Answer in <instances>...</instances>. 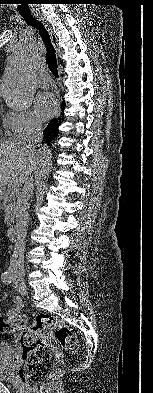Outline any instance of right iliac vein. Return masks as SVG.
Returning <instances> with one entry per match:
<instances>
[{
  "instance_id": "right-iliac-vein-1",
  "label": "right iliac vein",
  "mask_w": 153,
  "mask_h": 393,
  "mask_svg": "<svg viewBox=\"0 0 153 393\" xmlns=\"http://www.w3.org/2000/svg\"><path fill=\"white\" fill-rule=\"evenodd\" d=\"M18 281H21V279L18 277Z\"/></svg>"
}]
</instances>
